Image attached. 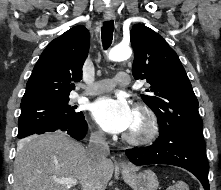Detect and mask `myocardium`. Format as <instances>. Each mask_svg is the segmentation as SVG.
Here are the masks:
<instances>
[{
	"label": "myocardium",
	"mask_w": 221,
	"mask_h": 190,
	"mask_svg": "<svg viewBox=\"0 0 221 190\" xmlns=\"http://www.w3.org/2000/svg\"><path fill=\"white\" fill-rule=\"evenodd\" d=\"M135 113L141 117L143 126L138 133H125L123 139L133 146H143L154 141L159 133V121L155 112L145 103H138Z\"/></svg>",
	"instance_id": "1"
}]
</instances>
